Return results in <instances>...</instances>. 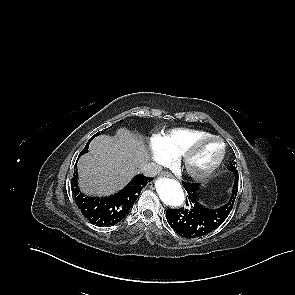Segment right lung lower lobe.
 Listing matches in <instances>:
<instances>
[{"label": "right lung lower lobe", "mask_w": 295, "mask_h": 295, "mask_svg": "<svg viewBox=\"0 0 295 295\" xmlns=\"http://www.w3.org/2000/svg\"><path fill=\"white\" fill-rule=\"evenodd\" d=\"M89 145L81 154L88 151ZM77 166L74 168L72 189L83 215L93 224L110 226L120 222L130 211L141 190L152 181L142 174L135 176L120 192L105 198L85 197L77 186Z\"/></svg>", "instance_id": "1"}]
</instances>
